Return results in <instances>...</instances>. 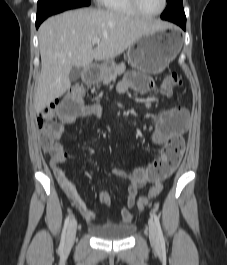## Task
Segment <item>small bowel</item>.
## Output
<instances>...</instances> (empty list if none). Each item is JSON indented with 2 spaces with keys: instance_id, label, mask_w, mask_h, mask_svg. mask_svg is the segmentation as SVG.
Listing matches in <instances>:
<instances>
[{
  "instance_id": "c3829d8e",
  "label": "small bowel",
  "mask_w": 227,
  "mask_h": 265,
  "mask_svg": "<svg viewBox=\"0 0 227 265\" xmlns=\"http://www.w3.org/2000/svg\"><path fill=\"white\" fill-rule=\"evenodd\" d=\"M153 88V82L146 77V72H128L117 85V92L124 94L129 90L146 94ZM70 96H63L58 105V113L61 120L59 123L51 126L50 133L53 143L50 147L44 148L50 157V166L55 179L61 189L70 199L73 206L84 216L88 222L95 220L94 212L88 208L80 197L74 184L67 178L60 168V165L70 155L66 152L59 139L64 132V128L76 121L88 117L99 116L102 114L100 105L88 106L85 99H82L83 91H70ZM188 124V113L182 107H174L161 112L155 121L154 131L152 133V142L161 146V154L150 163L137 166L129 170L114 168L112 174L128 182L126 207L119 212V220L122 224H127L132 220L130 209L134 207L138 190L148 183H157L160 179L166 177L173 169H168L162 165V160L168 153H182L183 141L182 134ZM99 202L105 206L111 204L110 194L103 190L98 195Z\"/></svg>"
}]
</instances>
